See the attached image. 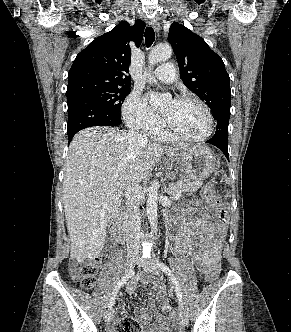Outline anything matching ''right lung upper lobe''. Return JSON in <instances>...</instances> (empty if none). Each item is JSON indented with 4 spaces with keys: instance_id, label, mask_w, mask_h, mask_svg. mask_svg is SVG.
I'll use <instances>...</instances> for the list:
<instances>
[{
    "instance_id": "obj_1",
    "label": "right lung upper lobe",
    "mask_w": 291,
    "mask_h": 332,
    "mask_svg": "<svg viewBox=\"0 0 291 332\" xmlns=\"http://www.w3.org/2000/svg\"><path fill=\"white\" fill-rule=\"evenodd\" d=\"M144 28L145 23L140 20L134 26L122 21L82 50L68 73L67 97L96 89L128 87L131 84L127 76L131 60L128 42L133 40L139 47Z\"/></svg>"
}]
</instances>
